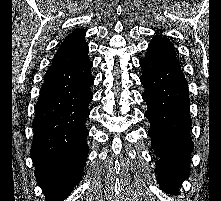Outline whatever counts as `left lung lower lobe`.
I'll list each match as a JSON object with an SVG mask.
<instances>
[{
    "instance_id": "left-lung-lower-lobe-1",
    "label": "left lung lower lobe",
    "mask_w": 221,
    "mask_h": 201,
    "mask_svg": "<svg viewBox=\"0 0 221 201\" xmlns=\"http://www.w3.org/2000/svg\"><path fill=\"white\" fill-rule=\"evenodd\" d=\"M140 81L150 122L148 135L159 157L155 172L161 189L176 195L190 174L193 142L190 136L188 84L181 67L145 56Z\"/></svg>"
}]
</instances>
